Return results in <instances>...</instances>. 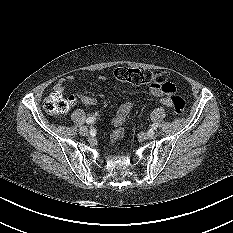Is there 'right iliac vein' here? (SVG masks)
I'll use <instances>...</instances> for the list:
<instances>
[{
    "label": "right iliac vein",
    "mask_w": 233,
    "mask_h": 233,
    "mask_svg": "<svg viewBox=\"0 0 233 233\" xmlns=\"http://www.w3.org/2000/svg\"><path fill=\"white\" fill-rule=\"evenodd\" d=\"M79 133H80L82 136H87L88 133H89V130H88L87 127L83 126V127L80 128Z\"/></svg>",
    "instance_id": "63e3f726"
}]
</instances>
